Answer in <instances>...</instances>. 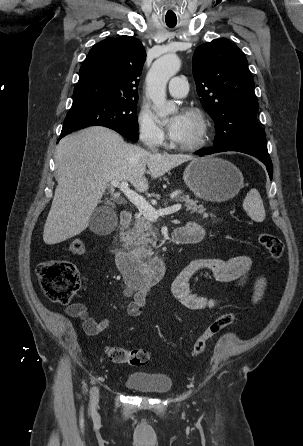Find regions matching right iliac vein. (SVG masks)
Wrapping results in <instances>:
<instances>
[{
    "mask_svg": "<svg viewBox=\"0 0 303 446\" xmlns=\"http://www.w3.org/2000/svg\"><path fill=\"white\" fill-rule=\"evenodd\" d=\"M98 403V390L94 388L91 391V404L95 406Z\"/></svg>",
    "mask_w": 303,
    "mask_h": 446,
    "instance_id": "obj_1",
    "label": "right iliac vein"
}]
</instances>
